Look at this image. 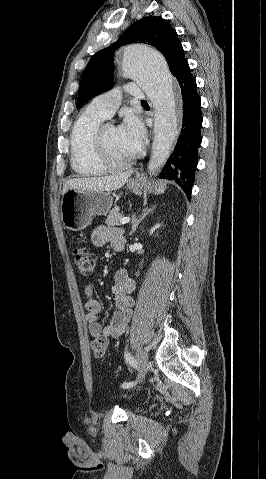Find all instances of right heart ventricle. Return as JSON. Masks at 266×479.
I'll return each instance as SVG.
<instances>
[{
  "label": "right heart ventricle",
  "instance_id": "e07e8e85",
  "mask_svg": "<svg viewBox=\"0 0 266 479\" xmlns=\"http://www.w3.org/2000/svg\"><path fill=\"white\" fill-rule=\"evenodd\" d=\"M105 118L87 109L76 121L71 133V165L81 176H100L108 170L95 155V134Z\"/></svg>",
  "mask_w": 266,
  "mask_h": 479
}]
</instances>
